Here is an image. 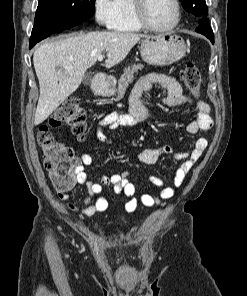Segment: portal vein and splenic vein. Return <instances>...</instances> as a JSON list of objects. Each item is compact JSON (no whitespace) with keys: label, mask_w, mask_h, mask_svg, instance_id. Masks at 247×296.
Returning <instances> with one entry per match:
<instances>
[{"label":"portal vein and splenic vein","mask_w":247,"mask_h":296,"mask_svg":"<svg viewBox=\"0 0 247 296\" xmlns=\"http://www.w3.org/2000/svg\"><path fill=\"white\" fill-rule=\"evenodd\" d=\"M104 55H98V61H103Z\"/></svg>","instance_id":"portal-vein-and-splenic-vein-1"}]
</instances>
